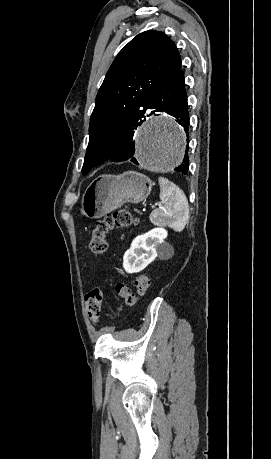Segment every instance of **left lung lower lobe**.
I'll return each mask as SVG.
<instances>
[{
    "label": "left lung lower lobe",
    "instance_id": "1",
    "mask_svg": "<svg viewBox=\"0 0 271 459\" xmlns=\"http://www.w3.org/2000/svg\"><path fill=\"white\" fill-rule=\"evenodd\" d=\"M147 101L150 114L161 111L166 112L176 118V121L184 128L188 135L189 113L187 109V94L185 91L184 72L181 69L159 83L148 94ZM143 117L145 116L142 115L139 120H134L120 133L117 150L106 161L121 162L131 160L138 165L137 160L133 157L135 152L133 136L137 127L145 121L141 120ZM188 168L189 159L186 153L182 164L174 170L186 174Z\"/></svg>",
    "mask_w": 271,
    "mask_h": 459
}]
</instances>
